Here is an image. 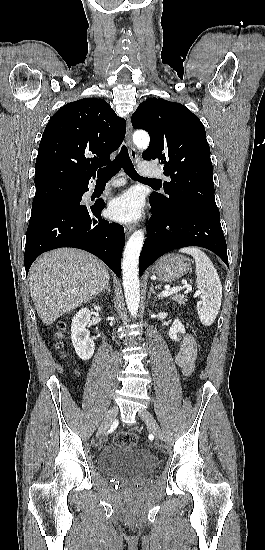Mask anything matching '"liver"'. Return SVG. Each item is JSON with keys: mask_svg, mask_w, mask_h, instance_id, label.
I'll list each match as a JSON object with an SVG mask.
<instances>
[{"mask_svg": "<svg viewBox=\"0 0 265 550\" xmlns=\"http://www.w3.org/2000/svg\"><path fill=\"white\" fill-rule=\"evenodd\" d=\"M109 269L92 254L59 248L41 255L31 266L29 289L45 325L95 298L109 282Z\"/></svg>", "mask_w": 265, "mask_h": 550, "instance_id": "obj_1", "label": "liver"}]
</instances>
